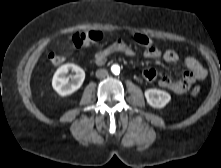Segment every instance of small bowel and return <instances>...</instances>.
<instances>
[{
    "label": "small bowel",
    "mask_w": 221,
    "mask_h": 168,
    "mask_svg": "<svg viewBox=\"0 0 221 168\" xmlns=\"http://www.w3.org/2000/svg\"><path fill=\"white\" fill-rule=\"evenodd\" d=\"M116 53L129 57L136 55V51L131 46L122 40H117L107 47L97 51L93 56V60L96 64L102 65L110 55ZM144 55L145 57L152 59L162 58L169 63L176 62L179 59L178 54L174 50L167 49L161 51L153 46L146 48ZM184 64L187 67V71L181 79L173 80L170 77L163 76L158 80L159 86L169 90L175 95H182L186 93L197 80H202L206 77V69L196 58L188 56L184 59ZM142 78L147 82H153L157 79V72L152 68L145 69L142 72Z\"/></svg>",
    "instance_id": "obj_1"
}]
</instances>
